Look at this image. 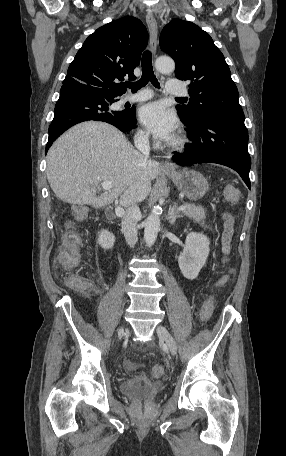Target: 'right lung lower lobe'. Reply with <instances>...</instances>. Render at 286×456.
I'll return each mask as SVG.
<instances>
[{
    "label": "right lung lower lobe",
    "mask_w": 286,
    "mask_h": 456,
    "mask_svg": "<svg viewBox=\"0 0 286 456\" xmlns=\"http://www.w3.org/2000/svg\"><path fill=\"white\" fill-rule=\"evenodd\" d=\"M118 101L80 83H63L60 97L55 105L54 119L49 126L46 153L52 143L71 126L88 121H103L114 125L122 132L136 126L135 108L115 112L109 106Z\"/></svg>",
    "instance_id": "1"
}]
</instances>
